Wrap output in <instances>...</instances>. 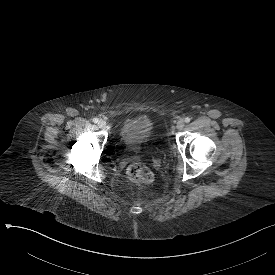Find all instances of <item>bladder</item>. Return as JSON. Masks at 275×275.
Returning a JSON list of instances; mask_svg holds the SVG:
<instances>
[{
	"label": "bladder",
	"mask_w": 275,
	"mask_h": 275,
	"mask_svg": "<svg viewBox=\"0 0 275 275\" xmlns=\"http://www.w3.org/2000/svg\"><path fill=\"white\" fill-rule=\"evenodd\" d=\"M119 147L130 153L146 149L153 142V126L151 120L144 115L126 119L116 134Z\"/></svg>",
	"instance_id": "31cf9c89"
}]
</instances>
